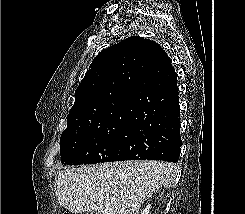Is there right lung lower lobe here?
<instances>
[{"label": "right lung lower lobe", "instance_id": "obj_1", "mask_svg": "<svg viewBox=\"0 0 245 214\" xmlns=\"http://www.w3.org/2000/svg\"><path fill=\"white\" fill-rule=\"evenodd\" d=\"M178 95L176 73L169 62L165 86L158 94L142 95L138 100L141 111L129 123L116 161H178L182 145Z\"/></svg>", "mask_w": 245, "mask_h": 214}]
</instances>
